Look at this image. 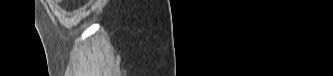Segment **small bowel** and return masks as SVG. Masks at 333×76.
I'll list each match as a JSON object with an SVG mask.
<instances>
[{"label": "small bowel", "instance_id": "obj_1", "mask_svg": "<svg viewBox=\"0 0 333 76\" xmlns=\"http://www.w3.org/2000/svg\"><path fill=\"white\" fill-rule=\"evenodd\" d=\"M55 5L61 3L60 1H52Z\"/></svg>", "mask_w": 333, "mask_h": 76}]
</instances>
